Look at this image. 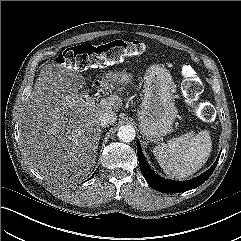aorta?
<instances>
[{
  "instance_id": "762f6f07",
  "label": "aorta",
  "mask_w": 241,
  "mask_h": 241,
  "mask_svg": "<svg viewBox=\"0 0 241 241\" xmlns=\"http://www.w3.org/2000/svg\"><path fill=\"white\" fill-rule=\"evenodd\" d=\"M117 136L123 142H131L135 138V129L131 125H124L119 128Z\"/></svg>"
}]
</instances>
